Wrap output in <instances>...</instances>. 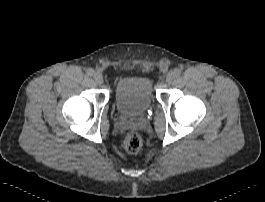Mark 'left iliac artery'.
Returning <instances> with one entry per match:
<instances>
[{"label": "left iliac artery", "instance_id": "obj_1", "mask_svg": "<svg viewBox=\"0 0 265 202\" xmlns=\"http://www.w3.org/2000/svg\"><path fill=\"white\" fill-rule=\"evenodd\" d=\"M174 73H175L176 76H179L181 74V69L175 68L174 69Z\"/></svg>", "mask_w": 265, "mask_h": 202}]
</instances>
